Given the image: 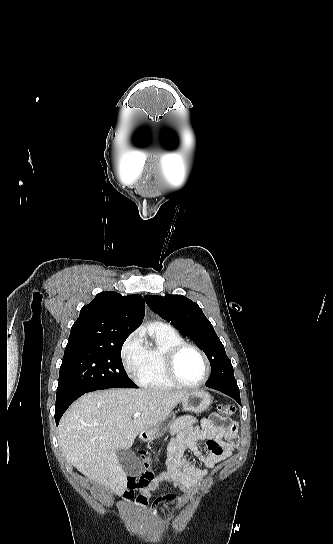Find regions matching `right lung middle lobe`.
Instances as JSON below:
<instances>
[{"mask_svg":"<svg viewBox=\"0 0 333 544\" xmlns=\"http://www.w3.org/2000/svg\"><path fill=\"white\" fill-rule=\"evenodd\" d=\"M127 337L120 336L102 346L65 349L58 388H138L129 379L121 360L122 345Z\"/></svg>","mask_w":333,"mask_h":544,"instance_id":"1","label":"right lung middle lobe"}]
</instances>
